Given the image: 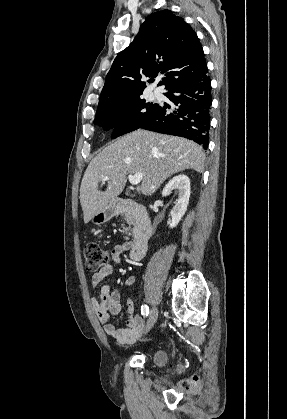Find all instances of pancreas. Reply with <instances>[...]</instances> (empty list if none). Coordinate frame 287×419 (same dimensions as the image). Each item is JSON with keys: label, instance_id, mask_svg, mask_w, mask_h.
I'll use <instances>...</instances> for the list:
<instances>
[{"label": "pancreas", "instance_id": "cf45deb5", "mask_svg": "<svg viewBox=\"0 0 287 419\" xmlns=\"http://www.w3.org/2000/svg\"><path fill=\"white\" fill-rule=\"evenodd\" d=\"M125 220H126V222L129 226L134 224L133 220L130 218V216L128 214H125ZM129 230H130L129 227H123V231L125 232V234H128Z\"/></svg>", "mask_w": 287, "mask_h": 419}]
</instances>
